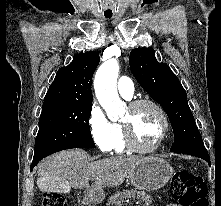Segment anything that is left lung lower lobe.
I'll return each instance as SVG.
<instances>
[{
	"label": "left lung lower lobe",
	"instance_id": "obj_1",
	"mask_svg": "<svg viewBox=\"0 0 221 206\" xmlns=\"http://www.w3.org/2000/svg\"><path fill=\"white\" fill-rule=\"evenodd\" d=\"M185 154H189V155H193V156L202 158V159L206 160L210 165V158H209L208 154H204V155H202V154H193V153H185Z\"/></svg>",
	"mask_w": 221,
	"mask_h": 206
}]
</instances>
